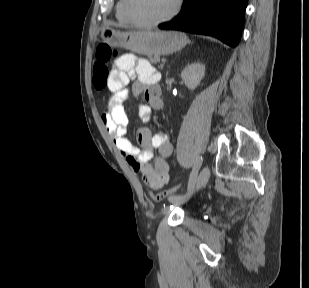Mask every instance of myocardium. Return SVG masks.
I'll return each instance as SVG.
<instances>
[{"label":"myocardium","mask_w":309,"mask_h":288,"mask_svg":"<svg viewBox=\"0 0 309 288\" xmlns=\"http://www.w3.org/2000/svg\"><path fill=\"white\" fill-rule=\"evenodd\" d=\"M130 3H131V0H124V5H123L124 14L126 18L128 19V21L136 27L147 28V27H154V26L160 25L162 23H165L173 19L180 12L182 8L183 0H175V5L170 13H168L164 17H161L159 19L152 20V21H142L136 18L131 11Z\"/></svg>","instance_id":"f54148a6"}]
</instances>
